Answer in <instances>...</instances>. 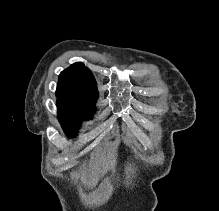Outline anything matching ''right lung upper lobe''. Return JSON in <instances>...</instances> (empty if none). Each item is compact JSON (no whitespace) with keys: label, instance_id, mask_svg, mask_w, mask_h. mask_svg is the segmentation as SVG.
Wrapping results in <instances>:
<instances>
[{"label":"right lung upper lobe","instance_id":"cb5924a9","mask_svg":"<svg viewBox=\"0 0 219 211\" xmlns=\"http://www.w3.org/2000/svg\"><path fill=\"white\" fill-rule=\"evenodd\" d=\"M97 95L94 76L82 63H75L61 72L56 90L57 101L94 106Z\"/></svg>","mask_w":219,"mask_h":211}]
</instances>
